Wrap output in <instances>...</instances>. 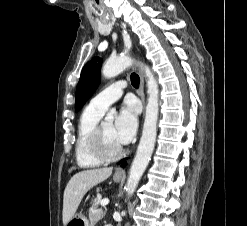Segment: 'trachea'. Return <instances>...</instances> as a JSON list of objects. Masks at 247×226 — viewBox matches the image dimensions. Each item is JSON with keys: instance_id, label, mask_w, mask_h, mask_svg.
Returning a JSON list of instances; mask_svg holds the SVG:
<instances>
[{"instance_id": "1", "label": "trachea", "mask_w": 247, "mask_h": 226, "mask_svg": "<svg viewBox=\"0 0 247 226\" xmlns=\"http://www.w3.org/2000/svg\"><path fill=\"white\" fill-rule=\"evenodd\" d=\"M131 84L133 87L138 88L139 87V76L136 73H132L131 76Z\"/></svg>"}]
</instances>
